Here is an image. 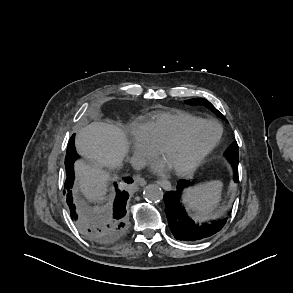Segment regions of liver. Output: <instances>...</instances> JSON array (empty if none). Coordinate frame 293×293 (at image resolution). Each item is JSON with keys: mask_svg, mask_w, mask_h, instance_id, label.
<instances>
[{"mask_svg": "<svg viewBox=\"0 0 293 293\" xmlns=\"http://www.w3.org/2000/svg\"><path fill=\"white\" fill-rule=\"evenodd\" d=\"M78 153L89 161L75 163L77 186L90 201L103 200L109 175L103 168H117L128 151L125 133L113 124L93 122L76 136Z\"/></svg>", "mask_w": 293, "mask_h": 293, "instance_id": "6515ba94", "label": "liver"}]
</instances>
